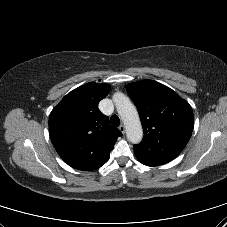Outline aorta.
Instances as JSON below:
<instances>
[{"instance_id":"aorta-1","label":"aorta","mask_w":227,"mask_h":227,"mask_svg":"<svg viewBox=\"0 0 227 227\" xmlns=\"http://www.w3.org/2000/svg\"><path fill=\"white\" fill-rule=\"evenodd\" d=\"M113 99L117 112L126 127L127 139L133 144L140 143L143 137V129L137 109L123 94H115Z\"/></svg>"}]
</instances>
